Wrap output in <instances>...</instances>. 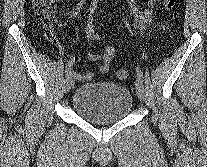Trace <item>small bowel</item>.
<instances>
[{
	"instance_id": "1",
	"label": "small bowel",
	"mask_w": 207,
	"mask_h": 167,
	"mask_svg": "<svg viewBox=\"0 0 207 167\" xmlns=\"http://www.w3.org/2000/svg\"><path fill=\"white\" fill-rule=\"evenodd\" d=\"M159 0H147L146 7L143 11L139 9L137 0H127L130 11L134 17V29L136 31H142L147 28L151 21V17L153 14V7ZM86 35L87 38L92 41H98L100 36L93 29L91 22L87 24L86 27ZM116 49L112 44L104 45L102 52L96 53H88L87 59L91 61L101 62L102 66L100 68L101 73H106L109 70L110 64L112 63L115 57ZM81 60V57L76 55H71L69 57V61L78 62ZM72 76L78 80L88 81L93 78V73L80 74L77 72H73Z\"/></svg>"
}]
</instances>
